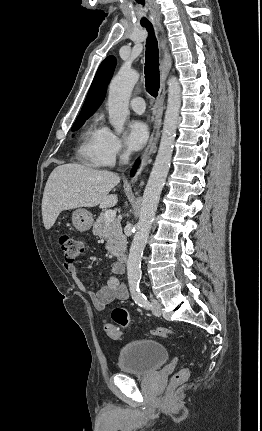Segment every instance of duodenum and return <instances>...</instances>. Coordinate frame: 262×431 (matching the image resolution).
<instances>
[{"label":"duodenum","mask_w":262,"mask_h":431,"mask_svg":"<svg viewBox=\"0 0 262 431\" xmlns=\"http://www.w3.org/2000/svg\"><path fill=\"white\" fill-rule=\"evenodd\" d=\"M118 261H119L121 264H124V263L127 261V255H126V254H124V253H121V254L119 255V257H118Z\"/></svg>","instance_id":"duodenum-1"}]
</instances>
